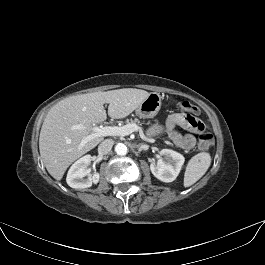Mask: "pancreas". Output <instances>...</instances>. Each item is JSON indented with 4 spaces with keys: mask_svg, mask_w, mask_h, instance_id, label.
<instances>
[{
    "mask_svg": "<svg viewBox=\"0 0 265 265\" xmlns=\"http://www.w3.org/2000/svg\"><path fill=\"white\" fill-rule=\"evenodd\" d=\"M128 124H140L138 119L131 120Z\"/></svg>",
    "mask_w": 265,
    "mask_h": 265,
    "instance_id": "pancreas-1",
    "label": "pancreas"
}]
</instances>
